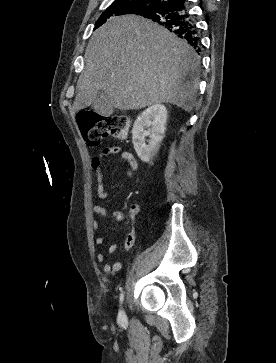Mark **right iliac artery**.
Here are the masks:
<instances>
[{
  "instance_id": "82829eb1",
  "label": "right iliac artery",
  "mask_w": 276,
  "mask_h": 363,
  "mask_svg": "<svg viewBox=\"0 0 276 363\" xmlns=\"http://www.w3.org/2000/svg\"><path fill=\"white\" fill-rule=\"evenodd\" d=\"M119 290L121 291V293H120V303L122 304V302L124 300V292H123L121 287L119 288Z\"/></svg>"
}]
</instances>
